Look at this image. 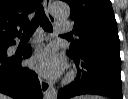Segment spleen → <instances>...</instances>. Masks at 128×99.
Returning <instances> with one entry per match:
<instances>
[{
  "mask_svg": "<svg viewBox=\"0 0 128 99\" xmlns=\"http://www.w3.org/2000/svg\"><path fill=\"white\" fill-rule=\"evenodd\" d=\"M85 99H99V97H94V96H87V97H84Z\"/></svg>",
  "mask_w": 128,
  "mask_h": 99,
  "instance_id": "spleen-1",
  "label": "spleen"
}]
</instances>
